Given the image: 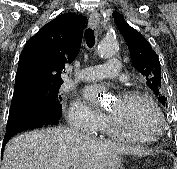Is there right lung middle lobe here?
Segmentation results:
<instances>
[{
  "label": "right lung middle lobe",
  "instance_id": "obj_1",
  "mask_svg": "<svg viewBox=\"0 0 177 169\" xmlns=\"http://www.w3.org/2000/svg\"><path fill=\"white\" fill-rule=\"evenodd\" d=\"M59 85L28 83L18 92H14L11 107L30 106L33 108L48 109L57 114L62 113V97L59 94Z\"/></svg>",
  "mask_w": 177,
  "mask_h": 169
}]
</instances>
